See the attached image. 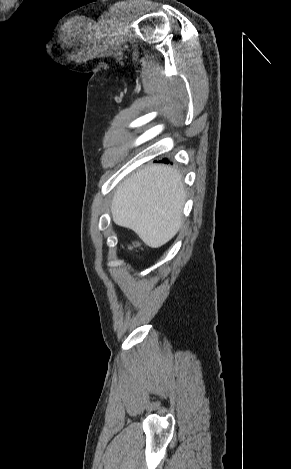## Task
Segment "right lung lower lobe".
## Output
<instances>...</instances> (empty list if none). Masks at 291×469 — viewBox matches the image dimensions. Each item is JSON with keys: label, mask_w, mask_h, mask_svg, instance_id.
<instances>
[{"label": "right lung lower lobe", "mask_w": 291, "mask_h": 469, "mask_svg": "<svg viewBox=\"0 0 291 469\" xmlns=\"http://www.w3.org/2000/svg\"><path fill=\"white\" fill-rule=\"evenodd\" d=\"M163 162H168L167 159H163Z\"/></svg>", "instance_id": "obj_1"}]
</instances>
